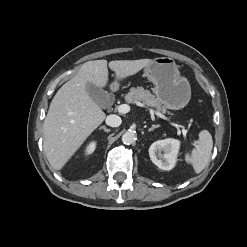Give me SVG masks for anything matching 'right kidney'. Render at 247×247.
Masks as SVG:
<instances>
[{"label": "right kidney", "instance_id": "obj_1", "mask_svg": "<svg viewBox=\"0 0 247 247\" xmlns=\"http://www.w3.org/2000/svg\"><path fill=\"white\" fill-rule=\"evenodd\" d=\"M96 148V142L95 141H92L89 143V145L87 146L86 150H85V154L86 155H90L94 152Z\"/></svg>", "mask_w": 247, "mask_h": 247}]
</instances>
